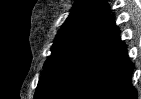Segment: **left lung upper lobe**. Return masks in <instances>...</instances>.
Here are the masks:
<instances>
[{
	"label": "left lung upper lobe",
	"instance_id": "obj_1",
	"mask_svg": "<svg viewBox=\"0 0 141 99\" xmlns=\"http://www.w3.org/2000/svg\"><path fill=\"white\" fill-rule=\"evenodd\" d=\"M109 16L105 0H78L74 4L71 14L57 33L51 47L52 54L43 66L44 71L35 92L36 98L53 84L73 55Z\"/></svg>",
	"mask_w": 141,
	"mask_h": 99
}]
</instances>
